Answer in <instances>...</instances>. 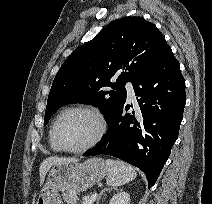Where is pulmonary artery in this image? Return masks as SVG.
I'll return each instance as SVG.
<instances>
[{"label": "pulmonary artery", "instance_id": "e3ab8cb5", "mask_svg": "<svg viewBox=\"0 0 212 204\" xmlns=\"http://www.w3.org/2000/svg\"><path fill=\"white\" fill-rule=\"evenodd\" d=\"M126 90H127V95L130 99H133L135 97V93H134V89H133V85L131 82H127L126 85Z\"/></svg>", "mask_w": 212, "mask_h": 204}]
</instances>
